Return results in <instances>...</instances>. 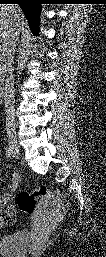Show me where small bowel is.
<instances>
[{
  "mask_svg": "<svg viewBox=\"0 0 106 257\" xmlns=\"http://www.w3.org/2000/svg\"><path fill=\"white\" fill-rule=\"evenodd\" d=\"M20 180L19 175L16 172H13L11 183L9 189L11 191L15 190L18 182ZM0 219L3 224H11L14 222V210L11 204V198L8 193L1 195L0 200Z\"/></svg>",
  "mask_w": 106,
  "mask_h": 257,
  "instance_id": "1",
  "label": "small bowel"
}]
</instances>
